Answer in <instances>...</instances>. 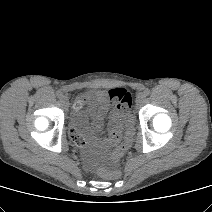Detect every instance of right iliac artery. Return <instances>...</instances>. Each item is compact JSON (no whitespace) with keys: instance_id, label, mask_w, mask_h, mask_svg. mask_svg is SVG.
<instances>
[{"instance_id":"82829eb1","label":"right iliac artery","mask_w":212,"mask_h":212,"mask_svg":"<svg viewBox=\"0 0 212 212\" xmlns=\"http://www.w3.org/2000/svg\"><path fill=\"white\" fill-rule=\"evenodd\" d=\"M56 95H57L58 98H61V97L63 96V93H62L61 90H58V91L56 92Z\"/></svg>"}]
</instances>
